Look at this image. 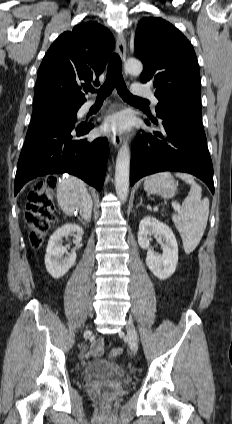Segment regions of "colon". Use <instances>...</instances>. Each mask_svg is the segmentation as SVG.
<instances>
[{
	"label": "colon",
	"mask_w": 232,
	"mask_h": 424,
	"mask_svg": "<svg viewBox=\"0 0 232 424\" xmlns=\"http://www.w3.org/2000/svg\"><path fill=\"white\" fill-rule=\"evenodd\" d=\"M54 192L49 186L36 184L29 192L25 211V220L30 229V243L38 248L43 242V236L51 229L54 221ZM123 351V346L117 345L110 351L111 358L117 357ZM102 398L106 401L110 392L103 390Z\"/></svg>",
	"instance_id": "5ec220e1"
}]
</instances>
